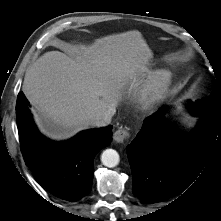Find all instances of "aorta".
I'll return each mask as SVG.
<instances>
[{
    "label": "aorta",
    "mask_w": 221,
    "mask_h": 221,
    "mask_svg": "<svg viewBox=\"0 0 221 221\" xmlns=\"http://www.w3.org/2000/svg\"><path fill=\"white\" fill-rule=\"evenodd\" d=\"M101 161L106 167H115L120 161L119 154L114 149H106L101 155Z\"/></svg>",
    "instance_id": "762f6f07"
}]
</instances>
